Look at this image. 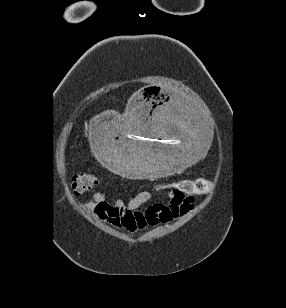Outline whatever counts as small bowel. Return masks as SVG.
Returning a JSON list of instances; mask_svg holds the SVG:
<instances>
[{
	"instance_id": "small-bowel-1",
	"label": "small bowel",
	"mask_w": 286,
	"mask_h": 308,
	"mask_svg": "<svg viewBox=\"0 0 286 308\" xmlns=\"http://www.w3.org/2000/svg\"><path fill=\"white\" fill-rule=\"evenodd\" d=\"M196 194L174 186L169 192L168 202L154 203L142 211L141 207L153 197L150 190H141L128 202H110L105 192L98 190L85 204V208L109 226L134 234L150 226L171 223L186 215L194 208Z\"/></svg>"
}]
</instances>
